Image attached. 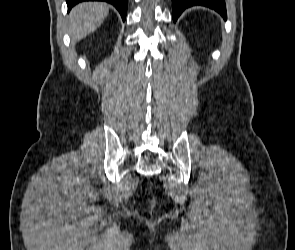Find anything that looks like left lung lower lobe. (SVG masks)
Segmentation results:
<instances>
[{
    "label": "left lung lower lobe",
    "mask_w": 295,
    "mask_h": 250,
    "mask_svg": "<svg viewBox=\"0 0 295 250\" xmlns=\"http://www.w3.org/2000/svg\"><path fill=\"white\" fill-rule=\"evenodd\" d=\"M172 5H173L172 16H173L174 22L180 16L183 10L194 5H202V6H206L211 9H214L225 20L227 19L225 0H172Z\"/></svg>",
    "instance_id": "1"
}]
</instances>
